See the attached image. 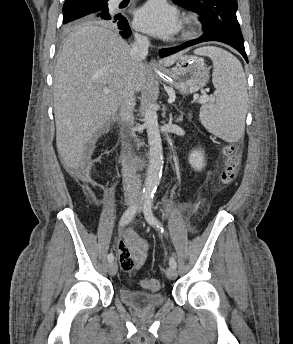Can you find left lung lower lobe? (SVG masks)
<instances>
[{
    "instance_id": "1",
    "label": "left lung lower lobe",
    "mask_w": 293,
    "mask_h": 344,
    "mask_svg": "<svg viewBox=\"0 0 293 344\" xmlns=\"http://www.w3.org/2000/svg\"><path fill=\"white\" fill-rule=\"evenodd\" d=\"M207 41H218V42H222V43H225V44L232 46L237 51H239L242 54V56L245 58V60L248 62L247 55H246L245 48H244V43H239V42H236V41H234L228 37H225L223 35H218V34H213V33H204L198 39L189 41V42L184 43L180 46L161 49L159 51V54L161 57H166V56L172 55L174 53H177V52H179V51H181L187 47L193 46V45L198 44V43L207 42Z\"/></svg>"
}]
</instances>
